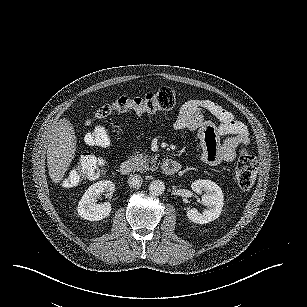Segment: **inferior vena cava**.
Segmentation results:
<instances>
[{"label":"inferior vena cava","mask_w":307,"mask_h":307,"mask_svg":"<svg viewBox=\"0 0 307 307\" xmlns=\"http://www.w3.org/2000/svg\"><path fill=\"white\" fill-rule=\"evenodd\" d=\"M143 179L139 174L130 175L128 179V184L130 187L139 189L142 186Z\"/></svg>","instance_id":"1"}]
</instances>
